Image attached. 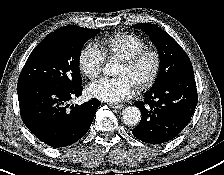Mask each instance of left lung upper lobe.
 Here are the masks:
<instances>
[{
    "mask_svg": "<svg viewBox=\"0 0 224 175\" xmlns=\"http://www.w3.org/2000/svg\"><path fill=\"white\" fill-rule=\"evenodd\" d=\"M142 29L153 41L160 56V72L153 87L178 77L194 76L189 57L181 46L164 30L150 23L133 25Z\"/></svg>",
    "mask_w": 224,
    "mask_h": 175,
    "instance_id": "obj_1",
    "label": "left lung upper lobe"
}]
</instances>
